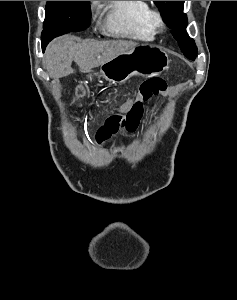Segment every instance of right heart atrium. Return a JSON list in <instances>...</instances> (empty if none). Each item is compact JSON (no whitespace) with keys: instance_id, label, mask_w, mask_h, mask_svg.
I'll return each instance as SVG.
<instances>
[{"instance_id":"1","label":"right heart atrium","mask_w":237,"mask_h":300,"mask_svg":"<svg viewBox=\"0 0 237 300\" xmlns=\"http://www.w3.org/2000/svg\"><path fill=\"white\" fill-rule=\"evenodd\" d=\"M92 7H93V8L95 7V3H92Z\"/></svg>"}]
</instances>
